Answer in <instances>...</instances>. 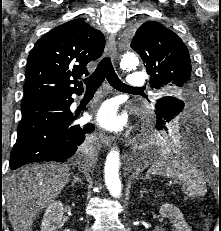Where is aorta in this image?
<instances>
[{
    "label": "aorta",
    "instance_id": "762f6f07",
    "mask_svg": "<svg viewBox=\"0 0 221 231\" xmlns=\"http://www.w3.org/2000/svg\"><path fill=\"white\" fill-rule=\"evenodd\" d=\"M139 64V59L135 53L127 50L123 53L121 58L120 67L123 70H135ZM120 168V152L117 148L111 149L106 157L104 167V178L107 189L110 194L115 198H120L122 192V185L119 178Z\"/></svg>",
    "mask_w": 221,
    "mask_h": 231
}]
</instances>
